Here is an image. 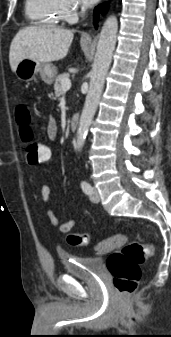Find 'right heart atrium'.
Masks as SVG:
<instances>
[{"label": "right heart atrium", "instance_id": "obj_1", "mask_svg": "<svg viewBox=\"0 0 171 337\" xmlns=\"http://www.w3.org/2000/svg\"><path fill=\"white\" fill-rule=\"evenodd\" d=\"M56 3L62 20L68 23L74 22L83 9L78 0H56Z\"/></svg>", "mask_w": 171, "mask_h": 337}]
</instances>
